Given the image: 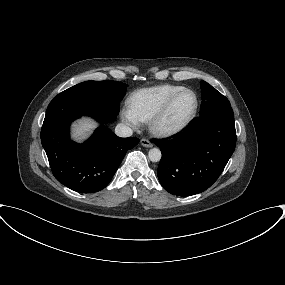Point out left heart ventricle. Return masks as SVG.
Segmentation results:
<instances>
[{"label":"left heart ventricle","instance_id":"obj_1","mask_svg":"<svg viewBox=\"0 0 285 285\" xmlns=\"http://www.w3.org/2000/svg\"><path fill=\"white\" fill-rule=\"evenodd\" d=\"M194 103L195 100L192 94L186 93L180 96L166 116L165 124L174 126L181 123L192 111Z\"/></svg>","mask_w":285,"mask_h":285}]
</instances>
